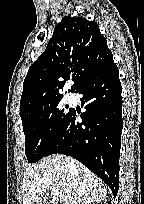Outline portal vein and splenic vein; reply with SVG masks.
Wrapping results in <instances>:
<instances>
[{
    "instance_id": "1",
    "label": "portal vein and splenic vein",
    "mask_w": 144,
    "mask_h": 204,
    "mask_svg": "<svg viewBox=\"0 0 144 204\" xmlns=\"http://www.w3.org/2000/svg\"><path fill=\"white\" fill-rule=\"evenodd\" d=\"M51 195L54 197L60 196L61 195V191L58 188H51Z\"/></svg>"
}]
</instances>
